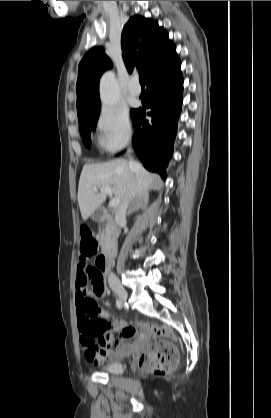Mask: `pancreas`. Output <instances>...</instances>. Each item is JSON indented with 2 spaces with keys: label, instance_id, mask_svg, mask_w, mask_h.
<instances>
[{
  "label": "pancreas",
  "instance_id": "1",
  "mask_svg": "<svg viewBox=\"0 0 271 418\" xmlns=\"http://www.w3.org/2000/svg\"><path fill=\"white\" fill-rule=\"evenodd\" d=\"M110 235H111V227L109 226V225H107L103 230H102V233H101V237H100V243H101V245H103L104 244V242H105V240L108 238V237H110Z\"/></svg>",
  "mask_w": 271,
  "mask_h": 418
}]
</instances>
